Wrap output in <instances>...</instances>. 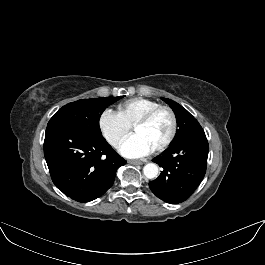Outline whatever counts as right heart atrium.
I'll return each instance as SVG.
<instances>
[{"label": "right heart atrium", "instance_id": "obj_1", "mask_svg": "<svg viewBox=\"0 0 265 265\" xmlns=\"http://www.w3.org/2000/svg\"><path fill=\"white\" fill-rule=\"evenodd\" d=\"M99 129L110 145L118 148L131 130L117 112L105 109L98 119Z\"/></svg>", "mask_w": 265, "mask_h": 265}]
</instances>
